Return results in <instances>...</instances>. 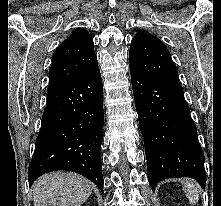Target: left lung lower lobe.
I'll return each instance as SVG.
<instances>
[{
  "label": "left lung lower lobe",
  "instance_id": "left-lung-lower-lobe-1",
  "mask_svg": "<svg viewBox=\"0 0 221 206\" xmlns=\"http://www.w3.org/2000/svg\"><path fill=\"white\" fill-rule=\"evenodd\" d=\"M131 80L151 188L176 177H193L204 188V154L183 88L133 73Z\"/></svg>",
  "mask_w": 221,
  "mask_h": 206
}]
</instances>
